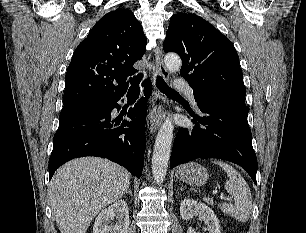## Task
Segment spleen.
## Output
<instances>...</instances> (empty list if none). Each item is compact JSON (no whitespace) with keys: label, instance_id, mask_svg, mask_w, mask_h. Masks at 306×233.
<instances>
[{"label":"spleen","instance_id":"1","mask_svg":"<svg viewBox=\"0 0 306 233\" xmlns=\"http://www.w3.org/2000/svg\"><path fill=\"white\" fill-rule=\"evenodd\" d=\"M214 163L227 173L225 190L233 196L235 201L234 204H220V209L239 222H247L252 212V195L248 184L231 165L222 161H214Z\"/></svg>","mask_w":306,"mask_h":233}]
</instances>
